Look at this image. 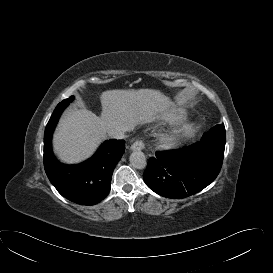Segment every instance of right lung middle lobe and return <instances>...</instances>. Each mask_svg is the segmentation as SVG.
<instances>
[{"label":"right lung middle lobe","mask_w":273,"mask_h":273,"mask_svg":"<svg viewBox=\"0 0 273 273\" xmlns=\"http://www.w3.org/2000/svg\"><path fill=\"white\" fill-rule=\"evenodd\" d=\"M74 100V96L69 97L68 99L63 100L61 103L58 105H62L63 107H66L69 105L70 102Z\"/></svg>","instance_id":"obj_1"}]
</instances>
